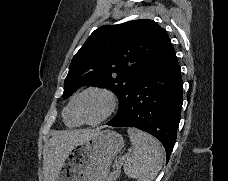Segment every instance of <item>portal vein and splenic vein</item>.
<instances>
[{"label":"portal vein and splenic vein","mask_w":228,"mask_h":181,"mask_svg":"<svg viewBox=\"0 0 228 181\" xmlns=\"http://www.w3.org/2000/svg\"><path fill=\"white\" fill-rule=\"evenodd\" d=\"M126 157H129V153L128 155H123V157H121V161H116V168L118 167L119 169L122 167L119 163H122V161H125Z\"/></svg>","instance_id":"18ae733b"}]
</instances>
